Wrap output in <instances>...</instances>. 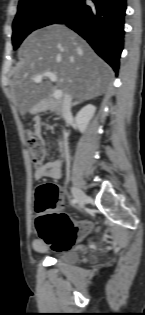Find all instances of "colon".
Wrapping results in <instances>:
<instances>
[{
	"instance_id": "colon-1",
	"label": "colon",
	"mask_w": 145,
	"mask_h": 315,
	"mask_svg": "<svg viewBox=\"0 0 145 315\" xmlns=\"http://www.w3.org/2000/svg\"><path fill=\"white\" fill-rule=\"evenodd\" d=\"M27 145L33 163L37 166L41 165L45 157L41 137L36 132L29 131ZM60 203L61 191L56 184L45 183L37 187L35 193L36 230L40 239L56 250L73 247L79 238L91 230L88 222L74 223L67 214L61 212Z\"/></svg>"
}]
</instances>
